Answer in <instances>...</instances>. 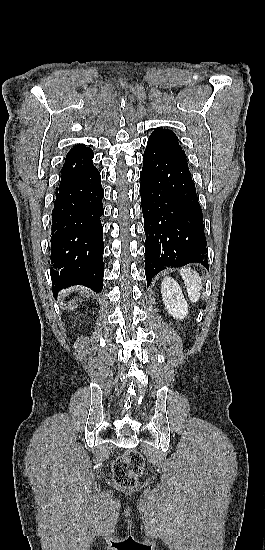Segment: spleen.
Listing matches in <instances>:
<instances>
[{
    "instance_id": "3e777b00",
    "label": "spleen",
    "mask_w": 265,
    "mask_h": 550,
    "mask_svg": "<svg viewBox=\"0 0 265 550\" xmlns=\"http://www.w3.org/2000/svg\"><path fill=\"white\" fill-rule=\"evenodd\" d=\"M180 274L184 280L190 300L193 303L197 302L200 298V291L202 289L199 274L190 269H181Z\"/></svg>"
}]
</instances>
